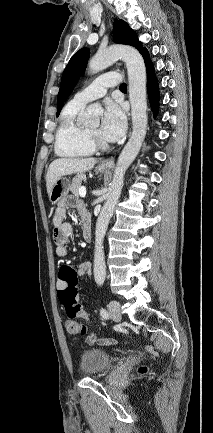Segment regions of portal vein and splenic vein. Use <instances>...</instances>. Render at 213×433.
<instances>
[{"instance_id":"portal-vein-and-splenic-vein-1","label":"portal vein and splenic vein","mask_w":213,"mask_h":433,"mask_svg":"<svg viewBox=\"0 0 213 433\" xmlns=\"http://www.w3.org/2000/svg\"><path fill=\"white\" fill-rule=\"evenodd\" d=\"M79 195L81 197H85L86 196V188L85 187H80L79 188Z\"/></svg>"}]
</instances>
